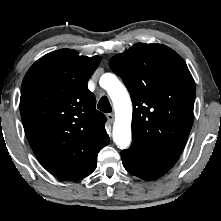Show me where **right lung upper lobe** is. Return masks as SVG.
<instances>
[{
  "instance_id": "obj_1",
  "label": "right lung upper lobe",
  "mask_w": 221,
  "mask_h": 221,
  "mask_svg": "<svg viewBox=\"0 0 221 221\" xmlns=\"http://www.w3.org/2000/svg\"><path fill=\"white\" fill-rule=\"evenodd\" d=\"M100 61L61 49L36 61L22 82L20 113L29 144L42 166L64 180L110 141L87 87Z\"/></svg>"
}]
</instances>
